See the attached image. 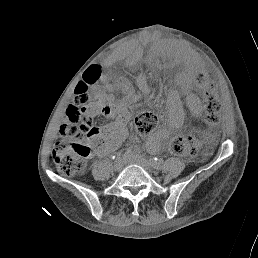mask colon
Segmentation results:
<instances>
[{
    "label": "colon",
    "instance_id": "1",
    "mask_svg": "<svg viewBox=\"0 0 258 258\" xmlns=\"http://www.w3.org/2000/svg\"><path fill=\"white\" fill-rule=\"evenodd\" d=\"M102 73L99 65L88 68L83 80L76 87L74 101L66 110L65 121L52 152L58 171L65 176L83 171L87 157L101 143V129L93 128L85 121L81 106L87 103L88 90L99 81ZM219 109L220 105L213 90H207L204 96V120L207 128L196 135L176 136L170 142L171 152L178 156H197L201 144L209 145L212 142L211 128L218 122ZM135 121L137 131L146 135L156 127L157 116L152 112H145L137 115Z\"/></svg>",
    "mask_w": 258,
    "mask_h": 258
}]
</instances>
